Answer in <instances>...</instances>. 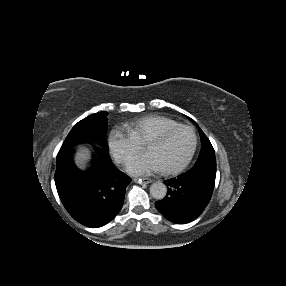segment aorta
Wrapping results in <instances>:
<instances>
[{"label": "aorta", "instance_id": "762f6f07", "mask_svg": "<svg viewBox=\"0 0 286 286\" xmlns=\"http://www.w3.org/2000/svg\"><path fill=\"white\" fill-rule=\"evenodd\" d=\"M150 194L154 199L161 200L167 194V187L162 182H155L150 186Z\"/></svg>", "mask_w": 286, "mask_h": 286}]
</instances>
